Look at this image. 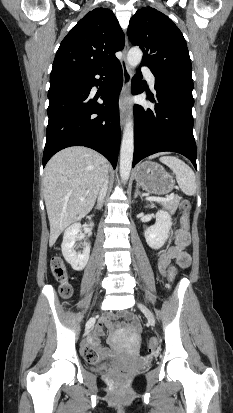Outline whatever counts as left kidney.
<instances>
[{
	"mask_svg": "<svg viewBox=\"0 0 233 413\" xmlns=\"http://www.w3.org/2000/svg\"><path fill=\"white\" fill-rule=\"evenodd\" d=\"M171 226V216L163 210L158 211L155 224L144 233L147 244L153 249L161 248L169 238Z\"/></svg>",
	"mask_w": 233,
	"mask_h": 413,
	"instance_id": "left-kidney-1",
	"label": "left kidney"
}]
</instances>
